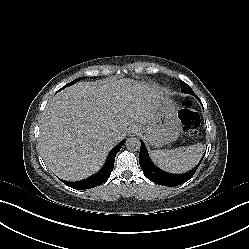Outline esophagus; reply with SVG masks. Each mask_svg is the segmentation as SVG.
Wrapping results in <instances>:
<instances>
[{"label":"esophagus","mask_w":249,"mask_h":249,"mask_svg":"<svg viewBox=\"0 0 249 249\" xmlns=\"http://www.w3.org/2000/svg\"><path fill=\"white\" fill-rule=\"evenodd\" d=\"M131 133H135L134 130H132Z\"/></svg>","instance_id":"34e87169"}]
</instances>
